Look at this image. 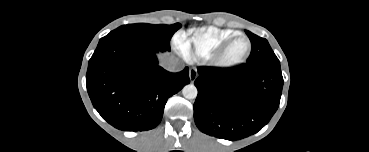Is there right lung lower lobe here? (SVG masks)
Returning a JSON list of instances; mask_svg holds the SVG:
<instances>
[{
    "label": "right lung lower lobe",
    "instance_id": "obj_1",
    "mask_svg": "<svg viewBox=\"0 0 369 152\" xmlns=\"http://www.w3.org/2000/svg\"><path fill=\"white\" fill-rule=\"evenodd\" d=\"M153 45L135 39L98 44L89 60L86 86L94 108L123 131L156 127L167 99L190 83L189 69L171 73L158 65Z\"/></svg>",
    "mask_w": 369,
    "mask_h": 152
}]
</instances>
